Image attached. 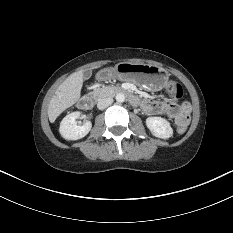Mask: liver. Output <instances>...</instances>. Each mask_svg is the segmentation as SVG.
<instances>
[{
	"instance_id": "1",
	"label": "liver",
	"mask_w": 233,
	"mask_h": 233,
	"mask_svg": "<svg viewBox=\"0 0 233 233\" xmlns=\"http://www.w3.org/2000/svg\"><path fill=\"white\" fill-rule=\"evenodd\" d=\"M83 72L78 71L68 76L57 88L48 106V117L51 123L67 108L75 104L81 95Z\"/></svg>"
}]
</instances>
